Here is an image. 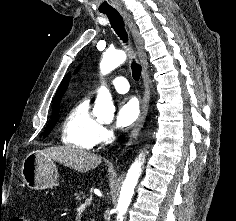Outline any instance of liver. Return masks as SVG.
<instances>
[{
	"label": "liver",
	"instance_id": "1",
	"mask_svg": "<svg viewBox=\"0 0 236 221\" xmlns=\"http://www.w3.org/2000/svg\"><path fill=\"white\" fill-rule=\"evenodd\" d=\"M41 153L78 172H89L98 167L102 160L97 154L71 146L49 147Z\"/></svg>",
	"mask_w": 236,
	"mask_h": 221
}]
</instances>
